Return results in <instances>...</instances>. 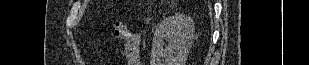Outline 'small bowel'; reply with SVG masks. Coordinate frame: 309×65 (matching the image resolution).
<instances>
[{
	"mask_svg": "<svg viewBox=\"0 0 309 65\" xmlns=\"http://www.w3.org/2000/svg\"><path fill=\"white\" fill-rule=\"evenodd\" d=\"M140 40L139 33H127L123 44V52L127 65H140Z\"/></svg>",
	"mask_w": 309,
	"mask_h": 65,
	"instance_id": "c3829d8e",
	"label": "small bowel"
}]
</instances>
